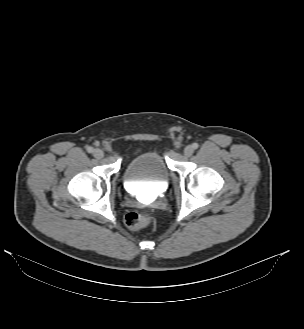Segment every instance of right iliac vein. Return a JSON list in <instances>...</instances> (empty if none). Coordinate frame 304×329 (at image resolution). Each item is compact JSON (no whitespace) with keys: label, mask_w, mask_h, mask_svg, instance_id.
I'll use <instances>...</instances> for the list:
<instances>
[{"label":"right iliac vein","mask_w":304,"mask_h":329,"mask_svg":"<svg viewBox=\"0 0 304 329\" xmlns=\"http://www.w3.org/2000/svg\"><path fill=\"white\" fill-rule=\"evenodd\" d=\"M104 153L101 149H95L93 151V156L97 159H101L103 157Z\"/></svg>","instance_id":"1"}]
</instances>
